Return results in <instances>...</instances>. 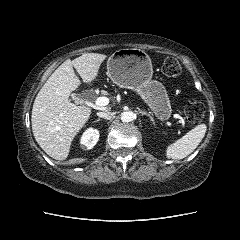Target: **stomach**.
Segmentation results:
<instances>
[{
	"label": "stomach",
	"instance_id": "0dacf381",
	"mask_svg": "<svg viewBox=\"0 0 240 240\" xmlns=\"http://www.w3.org/2000/svg\"><path fill=\"white\" fill-rule=\"evenodd\" d=\"M107 71L114 84L136 91L159 120L169 119L172 109L166 89L152 80V62L143 50H117L107 61Z\"/></svg>",
	"mask_w": 240,
	"mask_h": 240
}]
</instances>
